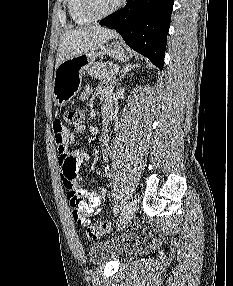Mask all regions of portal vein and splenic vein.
Returning a JSON list of instances; mask_svg holds the SVG:
<instances>
[{"mask_svg": "<svg viewBox=\"0 0 233 286\" xmlns=\"http://www.w3.org/2000/svg\"><path fill=\"white\" fill-rule=\"evenodd\" d=\"M116 72H117V70H113V69H111V70L108 71V73H109L110 75H114Z\"/></svg>", "mask_w": 233, "mask_h": 286, "instance_id": "1", "label": "portal vein and splenic vein"}]
</instances>
